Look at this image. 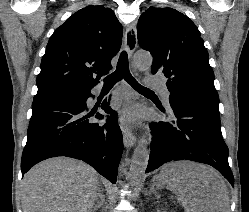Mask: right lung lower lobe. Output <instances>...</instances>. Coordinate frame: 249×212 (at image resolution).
<instances>
[{"label":"right lung lower lobe","instance_id":"right-lung-lower-lobe-1","mask_svg":"<svg viewBox=\"0 0 249 212\" xmlns=\"http://www.w3.org/2000/svg\"><path fill=\"white\" fill-rule=\"evenodd\" d=\"M91 89L54 98H36L28 127L27 143L21 160L22 175L36 163L50 157L67 156L83 160L113 184L123 150L117 113L104 100L101 108L111 116L105 124L90 123L94 115L86 101ZM96 118L104 116L99 112ZM114 117V118H113Z\"/></svg>","mask_w":249,"mask_h":212}]
</instances>
